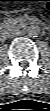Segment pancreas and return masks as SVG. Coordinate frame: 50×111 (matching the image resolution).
I'll list each match as a JSON object with an SVG mask.
<instances>
[{
    "mask_svg": "<svg viewBox=\"0 0 50 111\" xmlns=\"http://www.w3.org/2000/svg\"><path fill=\"white\" fill-rule=\"evenodd\" d=\"M14 25H16V21H15V20H10V21L5 22V23L3 24V28H7V27H10V26L13 27Z\"/></svg>",
    "mask_w": 50,
    "mask_h": 111,
    "instance_id": "pancreas-1",
    "label": "pancreas"
}]
</instances>
